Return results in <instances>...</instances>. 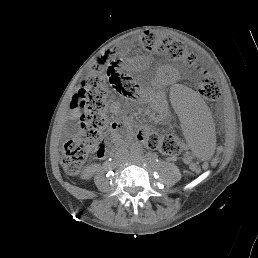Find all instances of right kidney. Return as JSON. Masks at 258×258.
<instances>
[{
	"instance_id": "obj_1",
	"label": "right kidney",
	"mask_w": 258,
	"mask_h": 258,
	"mask_svg": "<svg viewBox=\"0 0 258 258\" xmlns=\"http://www.w3.org/2000/svg\"><path fill=\"white\" fill-rule=\"evenodd\" d=\"M91 177V173L89 169H86L84 173L82 174V179H89Z\"/></svg>"
}]
</instances>
